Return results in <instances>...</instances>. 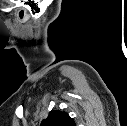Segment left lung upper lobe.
Returning <instances> with one entry per match:
<instances>
[{
    "label": "left lung upper lobe",
    "instance_id": "obj_1",
    "mask_svg": "<svg viewBox=\"0 0 127 126\" xmlns=\"http://www.w3.org/2000/svg\"><path fill=\"white\" fill-rule=\"evenodd\" d=\"M41 126H76L75 121L66 112L60 110L51 111Z\"/></svg>",
    "mask_w": 127,
    "mask_h": 126
}]
</instances>
